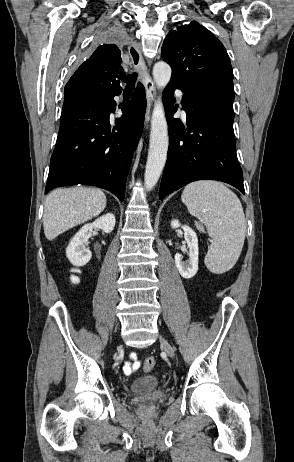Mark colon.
Listing matches in <instances>:
<instances>
[{
	"label": "colon",
	"instance_id": "obj_1",
	"mask_svg": "<svg viewBox=\"0 0 294 462\" xmlns=\"http://www.w3.org/2000/svg\"><path fill=\"white\" fill-rule=\"evenodd\" d=\"M77 280H78L77 277H76L75 275H73V276H72V281H73L74 283H76ZM155 364H156V360H155L154 357H148V358H146V360L144 361V365H143L144 370H145V371H150V370H152V369L154 368Z\"/></svg>",
	"mask_w": 294,
	"mask_h": 462
}]
</instances>
